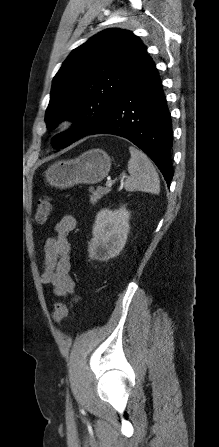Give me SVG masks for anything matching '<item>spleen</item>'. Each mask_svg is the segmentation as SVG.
Segmentation results:
<instances>
[{
	"mask_svg": "<svg viewBox=\"0 0 219 447\" xmlns=\"http://www.w3.org/2000/svg\"><path fill=\"white\" fill-rule=\"evenodd\" d=\"M131 158L128 161L130 176L126 179L124 187L127 191H144L158 194L160 181L150 159L135 147H129Z\"/></svg>",
	"mask_w": 219,
	"mask_h": 447,
	"instance_id": "obj_1",
	"label": "spleen"
}]
</instances>
